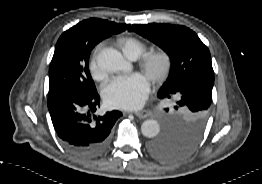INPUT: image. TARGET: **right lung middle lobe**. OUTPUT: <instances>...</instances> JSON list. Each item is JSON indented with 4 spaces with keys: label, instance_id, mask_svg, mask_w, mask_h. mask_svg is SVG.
<instances>
[{
    "label": "right lung middle lobe",
    "instance_id": "right-lung-middle-lobe-1",
    "mask_svg": "<svg viewBox=\"0 0 262 184\" xmlns=\"http://www.w3.org/2000/svg\"><path fill=\"white\" fill-rule=\"evenodd\" d=\"M110 32L86 25L73 27L59 38L49 69V88L95 93L96 87L88 69L91 50Z\"/></svg>",
    "mask_w": 262,
    "mask_h": 184
}]
</instances>
